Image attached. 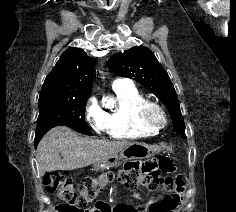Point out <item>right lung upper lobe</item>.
<instances>
[{
  "mask_svg": "<svg viewBox=\"0 0 236 212\" xmlns=\"http://www.w3.org/2000/svg\"><path fill=\"white\" fill-rule=\"evenodd\" d=\"M93 71V58L86 52L75 47L65 50L47 75L39 99L90 96Z\"/></svg>",
  "mask_w": 236,
  "mask_h": 212,
  "instance_id": "1",
  "label": "right lung upper lobe"
}]
</instances>
